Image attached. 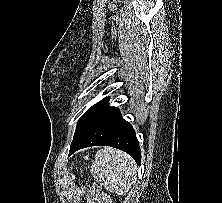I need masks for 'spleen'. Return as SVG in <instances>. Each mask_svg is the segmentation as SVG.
I'll list each match as a JSON object with an SVG mask.
<instances>
[{
    "mask_svg": "<svg viewBox=\"0 0 222 203\" xmlns=\"http://www.w3.org/2000/svg\"><path fill=\"white\" fill-rule=\"evenodd\" d=\"M91 174L107 190L123 194L136 183L138 167L123 151L104 147L96 153Z\"/></svg>",
    "mask_w": 222,
    "mask_h": 203,
    "instance_id": "3e777b00",
    "label": "spleen"
}]
</instances>
